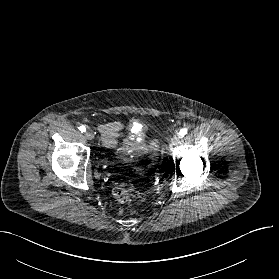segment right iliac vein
<instances>
[{
    "label": "right iliac vein",
    "instance_id": "right-iliac-vein-1",
    "mask_svg": "<svg viewBox=\"0 0 279 279\" xmlns=\"http://www.w3.org/2000/svg\"><path fill=\"white\" fill-rule=\"evenodd\" d=\"M85 136H86V138L88 139V140H92L93 138H94V134H93V131L92 130H87L86 132H85Z\"/></svg>",
    "mask_w": 279,
    "mask_h": 279
}]
</instances>
